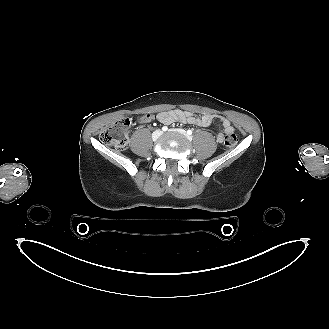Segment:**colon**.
Here are the masks:
<instances>
[{"mask_svg":"<svg viewBox=\"0 0 329 329\" xmlns=\"http://www.w3.org/2000/svg\"><path fill=\"white\" fill-rule=\"evenodd\" d=\"M154 118L153 115L147 114L139 118L140 123L149 122ZM131 125L130 119L117 121L114 125L103 129L100 133V140L109 146L124 149L128 143V128ZM237 144V136L230 134L224 139L226 148H233Z\"/></svg>","mask_w":329,"mask_h":329,"instance_id":"obj_1","label":"colon"}]
</instances>
